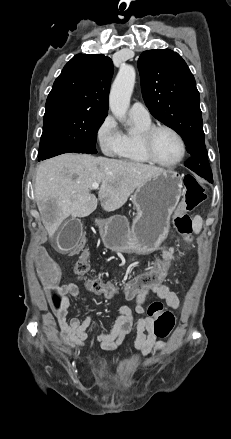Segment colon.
<instances>
[{
	"label": "colon",
	"instance_id": "1",
	"mask_svg": "<svg viewBox=\"0 0 231 439\" xmlns=\"http://www.w3.org/2000/svg\"><path fill=\"white\" fill-rule=\"evenodd\" d=\"M185 195L182 199L174 216V226L176 230L187 241L191 240L194 230L193 220L188 212L194 210L204 199V188L192 175L184 177ZM88 241L87 236L81 235L76 242V247L82 249L86 246ZM39 254L36 258L39 267L38 273L42 277L41 287L46 288L48 295V313H61L64 307V295L59 293L58 282L61 274L58 267L49 261V250L46 248H39ZM174 259L162 258L151 260L148 268L139 271V276H134L133 282L124 286H119L112 281H105L102 278H92L87 280V289L95 294H101L107 297L116 296L119 293L124 295V298H137L140 293H145V288L155 286L157 283H167L164 279L167 278V272L173 268ZM90 270V265L87 260L86 253L82 254L74 266V273L82 278L85 277ZM150 293L145 295H156L150 288ZM175 324V317L169 311L161 310L153 321V332L156 337L164 338L170 334Z\"/></svg>",
	"mask_w": 231,
	"mask_h": 439
}]
</instances>
